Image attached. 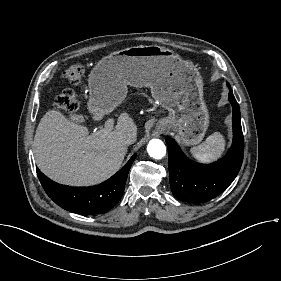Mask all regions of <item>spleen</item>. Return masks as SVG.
Segmentation results:
<instances>
[{
  "label": "spleen",
  "instance_id": "1",
  "mask_svg": "<svg viewBox=\"0 0 281 281\" xmlns=\"http://www.w3.org/2000/svg\"><path fill=\"white\" fill-rule=\"evenodd\" d=\"M224 150V137L219 132H214L202 144L191 148L190 152L196 160L210 163L221 157Z\"/></svg>",
  "mask_w": 281,
  "mask_h": 281
}]
</instances>
